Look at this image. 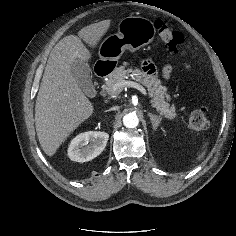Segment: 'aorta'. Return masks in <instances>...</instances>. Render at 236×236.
Instances as JSON below:
<instances>
[{
	"mask_svg": "<svg viewBox=\"0 0 236 236\" xmlns=\"http://www.w3.org/2000/svg\"><path fill=\"white\" fill-rule=\"evenodd\" d=\"M123 124L127 128H135L139 124V119L136 114L129 113L123 117Z\"/></svg>",
	"mask_w": 236,
	"mask_h": 236,
	"instance_id": "aorta-1",
	"label": "aorta"
}]
</instances>
